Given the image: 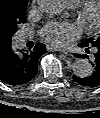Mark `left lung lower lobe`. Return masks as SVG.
Here are the masks:
<instances>
[{
	"label": "left lung lower lobe",
	"instance_id": "1",
	"mask_svg": "<svg viewBox=\"0 0 100 118\" xmlns=\"http://www.w3.org/2000/svg\"><path fill=\"white\" fill-rule=\"evenodd\" d=\"M79 47H84L86 48V52L89 53V49L93 48L95 51L93 61L91 65L93 66V72L90 76L80 78L77 76H73L74 81H76L78 84L86 86V87H96L100 86V43L95 44V45H89V44H84L80 43ZM77 57H87V55H76Z\"/></svg>",
	"mask_w": 100,
	"mask_h": 118
}]
</instances>
